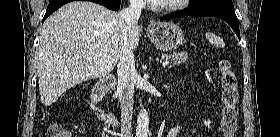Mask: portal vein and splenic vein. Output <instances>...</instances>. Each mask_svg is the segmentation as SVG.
Instances as JSON below:
<instances>
[{"label": "portal vein and splenic vein", "instance_id": "obj_1", "mask_svg": "<svg viewBox=\"0 0 280 137\" xmlns=\"http://www.w3.org/2000/svg\"><path fill=\"white\" fill-rule=\"evenodd\" d=\"M168 64H169L168 61H164V62L162 63L163 66H167Z\"/></svg>", "mask_w": 280, "mask_h": 137}]
</instances>
